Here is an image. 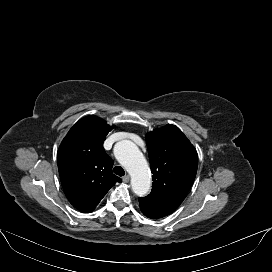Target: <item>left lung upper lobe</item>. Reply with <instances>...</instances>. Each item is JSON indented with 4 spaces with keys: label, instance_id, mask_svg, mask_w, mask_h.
<instances>
[{
    "label": "left lung upper lobe",
    "instance_id": "obj_1",
    "mask_svg": "<svg viewBox=\"0 0 272 272\" xmlns=\"http://www.w3.org/2000/svg\"><path fill=\"white\" fill-rule=\"evenodd\" d=\"M153 189L139 198L141 211L162 218L175 211L188 194L198 167L194 146L175 125H166L146 136Z\"/></svg>",
    "mask_w": 272,
    "mask_h": 272
}]
</instances>
